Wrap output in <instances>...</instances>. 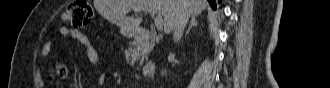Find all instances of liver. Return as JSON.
Masks as SVG:
<instances>
[{"label":"liver","instance_id":"obj_1","mask_svg":"<svg viewBox=\"0 0 330 88\" xmlns=\"http://www.w3.org/2000/svg\"><path fill=\"white\" fill-rule=\"evenodd\" d=\"M94 6L108 21L120 26L123 35H132L142 22V17L127 16L134 8L157 10L164 19L163 30L168 34L174 30L175 22L182 13L197 16L208 3L206 0H94Z\"/></svg>","mask_w":330,"mask_h":88}]
</instances>
